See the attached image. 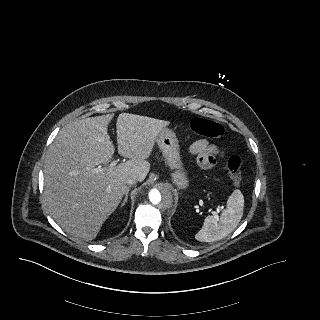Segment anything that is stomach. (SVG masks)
<instances>
[{
	"label": "stomach",
	"instance_id": "0dacf381",
	"mask_svg": "<svg viewBox=\"0 0 320 320\" xmlns=\"http://www.w3.org/2000/svg\"><path fill=\"white\" fill-rule=\"evenodd\" d=\"M156 142L162 151L166 164L172 170L171 179L173 183L179 189H187L189 187V179L183 167L179 141L175 133L167 127H164L159 132Z\"/></svg>",
	"mask_w": 320,
	"mask_h": 320
}]
</instances>
